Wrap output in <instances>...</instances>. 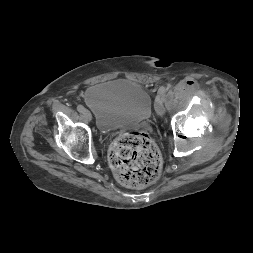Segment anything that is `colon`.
Here are the masks:
<instances>
[{"label":"colon","mask_w":253,"mask_h":253,"mask_svg":"<svg viewBox=\"0 0 253 253\" xmlns=\"http://www.w3.org/2000/svg\"><path fill=\"white\" fill-rule=\"evenodd\" d=\"M109 160L117 180L132 188L152 184L161 172L159 150L144 132L120 135L110 149Z\"/></svg>","instance_id":"1"}]
</instances>
